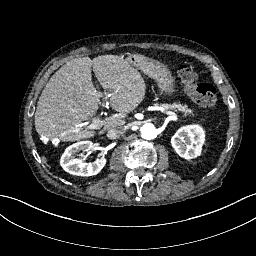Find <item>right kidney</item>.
Listing matches in <instances>:
<instances>
[{"instance_id": "1", "label": "right kidney", "mask_w": 256, "mask_h": 256, "mask_svg": "<svg viewBox=\"0 0 256 256\" xmlns=\"http://www.w3.org/2000/svg\"><path fill=\"white\" fill-rule=\"evenodd\" d=\"M92 147L93 143L91 141H80L69 146L61 157L60 165L66 172L73 175H97L106 165L107 159L100 157L93 163H86L84 153L90 151ZM76 156H79V158H76Z\"/></svg>"}]
</instances>
